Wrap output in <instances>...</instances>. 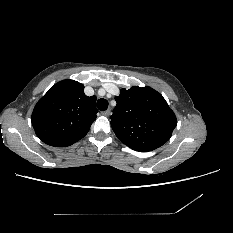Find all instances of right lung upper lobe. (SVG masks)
<instances>
[{
	"instance_id": "1",
	"label": "right lung upper lobe",
	"mask_w": 233,
	"mask_h": 233,
	"mask_svg": "<svg viewBox=\"0 0 233 233\" xmlns=\"http://www.w3.org/2000/svg\"><path fill=\"white\" fill-rule=\"evenodd\" d=\"M97 112L96 96H86L77 81L63 80L38 101L31 121L44 143L67 147L86 136Z\"/></svg>"
}]
</instances>
